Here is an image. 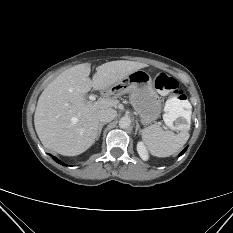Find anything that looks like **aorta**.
I'll use <instances>...</instances> for the list:
<instances>
[{"label": "aorta", "mask_w": 233, "mask_h": 233, "mask_svg": "<svg viewBox=\"0 0 233 233\" xmlns=\"http://www.w3.org/2000/svg\"><path fill=\"white\" fill-rule=\"evenodd\" d=\"M131 125V119L128 116H123L119 120V126L120 128L126 129Z\"/></svg>", "instance_id": "aorta-1"}]
</instances>
